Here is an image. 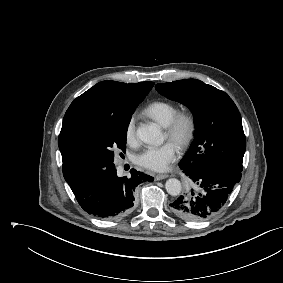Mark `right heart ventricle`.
Listing matches in <instances>:
<instances>
[{
  "label": "right heart ventricle",
  "instance_id": "e07e8e85",
  "mask_svg": "<svg viewBox=\"0 0 283 283\" xmlns=\"http://www.w3.org/2000/svg\"><path fill=\"white\" fill-rule=\"evenodd\" d=\"M178 112L179 109L175 104L164 100L154 101L144 109L146 116L165 128L171 123Z\"/></svg>",
  "mask_w": 283,
  "mask_h": 283
}]
</instances>
